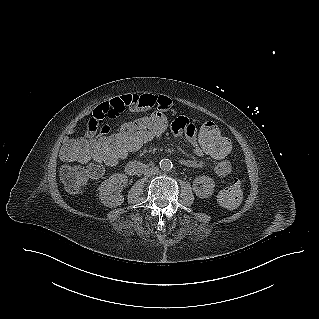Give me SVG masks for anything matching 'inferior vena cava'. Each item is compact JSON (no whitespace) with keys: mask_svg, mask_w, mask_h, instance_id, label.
Instances as JSON below:
<instances>
[{"mask_svg":"<svg viewBox=\"0 0 319 319\" xmlns=\"http://www.w3.org/2000/svg\"><path fill=\"white\" fill-rule=\"evenodd\" d=\"M158 168L157 167H150L145 171V176L149 177L152 175H155L156 173H158Z\"/></svg>","mask_w":319,"mask_h":319,"instance_id":"1","label":"inferior vena cava"}]
</instances>
